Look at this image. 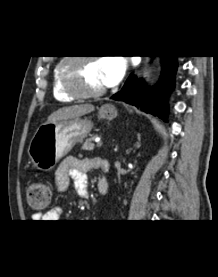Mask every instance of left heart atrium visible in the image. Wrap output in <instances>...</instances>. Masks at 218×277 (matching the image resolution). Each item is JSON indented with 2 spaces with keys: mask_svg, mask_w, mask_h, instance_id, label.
Segmentation results:
<instances>
[{
  "mask_svg": "<svg viewBox=\"0 0 218 277\" xmlns=\"http://www.w3.org/2000/svg\"><path fill=\"white\" fill-rule=\"evenodd\" d=\"M98 63L104 86H114L123 77L126 69V63L122 58L106 57Z\"/></svg>",
  "mask_w": 218,
  "mask_h": 277,
  "instance_id": "1",
  "label": "left heart atrium"
}]
</instances>
